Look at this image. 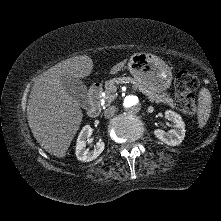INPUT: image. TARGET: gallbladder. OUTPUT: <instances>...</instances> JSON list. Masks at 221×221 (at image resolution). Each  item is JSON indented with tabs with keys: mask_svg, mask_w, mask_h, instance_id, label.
<instances>
[{
	"mask_svg": "<svg viewBox=\"0 0 221 221\" xmlns=\"http://www.w3.org/2000/svg\"><path fill=\"white\" fill-rule=\"evenodd\" d=\"M65 91L83 108L88 107L87 88L84 83L74 77L63 76L61 79Z\"/></svg>",
	"mask_w": 221,
	"mask_h": 221,
	"instance_id": "1",
	"label": "gallbladder"
}]
</instances>
